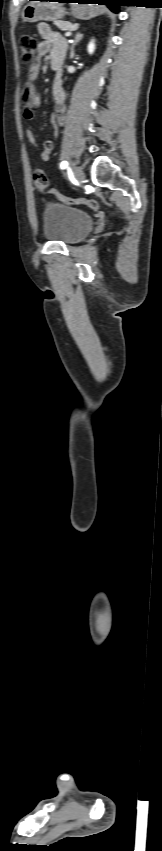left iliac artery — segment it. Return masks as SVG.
Returning a JSON list of instances; mask_svg holds the SVG:
<instances>
[{"mask_svg": "<svg viewBox=\"0 0 162 851\" xmlns=\"http://www.w3.org/2000/svg\"><path fill=\"white\" fill-rule=\"evenodd\" d=\"M67 166H68V162H67V161H62V162H61V164H60V168H61V169H65Z\"/></svg>", "mask_w": 162, "mask_h": 851, "instance_id": "1", "label": "left iliac artery"}]
</instances>
